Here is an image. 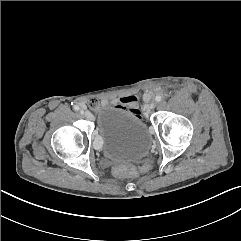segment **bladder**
Here are the masks:
<instances>
[{"instance_id": "31cf9c89", "label": "bladder", "mask_w": 241, "mask_h": 241, "mask_svg": "<svg viewBox=\"0 0 241 241\" xmlns=\"http://www.w3.org/2000/svg\"><path fill=\"white\" fill-rule=\"evenodd\" d=\"M96 136L105 157L113 161L138 160L151 147L150 135L141 118L114 104L99 110Z\"/></svg>"}]
</instances>
